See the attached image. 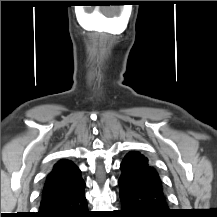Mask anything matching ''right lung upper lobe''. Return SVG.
Returning <instances> with one entry per match:
<instances>
[{"label":"right lung upper lobe","instance_id":"right-lung-upper-lobe-1","mask_svg":"<svg viewBox=\"0 0 217 217\" xmlns=\"http://www.w3.org/2000/svg\"><path fill=\"white\" fill-rule=\"evenodd\" d=\"M84 187L78 167L69 160H60L47 176L41 204L72 195Z\"/></svg>","mask_w":217,"mask_h":217}]
</instances>
